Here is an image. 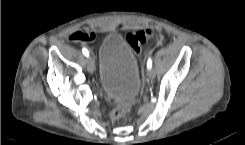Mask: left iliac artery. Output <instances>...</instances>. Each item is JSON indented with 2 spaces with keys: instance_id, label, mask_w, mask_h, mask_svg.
Returning a JSON list of instances; mask_svg holds the SVG:
<instances>
[{
  "instance_id": "1",
  "label": "left iliac artery",
  "mask_w": 245,
  "mask_h": 145,
  "mask_svg": "<svg viewBox=\"0 0 245 145\" xmlns=\"http://www.w3.org/2000/svg\"><path fill=\"white\" fill-rule=\"evenodd\" d=\"M147 67L148 68H151L152 67V60H151V58H149L148 61H147Z\"/></svg>"
}]
</instances>
